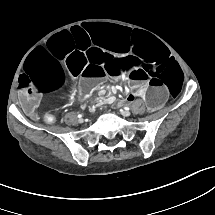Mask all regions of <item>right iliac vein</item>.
Returning a JSON list of instances; mask_svg holds the SVG:
<instances>
[{
  "label": "right iliac vein",
  "instance_id": "63e3f726",
  "mask_svg": "<svg viewBox=\"0 0 215 215\" xmlns=\"http://www.w3.org/2000/svg\"><path fill=\"white\" fill-rule=\"evenodd\" d=\"M79 122H83V119H80V121Z\"/></svg>",
  "mask_w": 215,
  "mask_h": 215
}]
</instances>
